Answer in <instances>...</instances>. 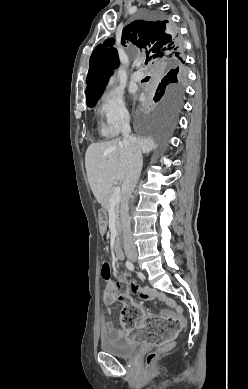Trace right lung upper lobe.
Wrapping results in <instances>:
<instances>
[{
	"instance_id": "cb5924a9",
	"label": "right lung upper lobe",
	"mask_w": 248,
	"mask_h": 389,
	"mask_svg": "<svg viewBox=\"0 0 248 389\" xmlns=\"http://www.w3.org/2000/svg\"><path fill=\"white\" fill-rule=\"evenodd\" d=\"M114 40L108 39L99 44L90 57L89 72L86 78V98L105 89L110 70L118 66L119 59ZM121 43L125 46L132 43L143 50L147 58L161 69H166L174 63H184L182 45L177 47L169 30L168 21L136 20L122 31Z\"/></svg>"
}]
</instances>
